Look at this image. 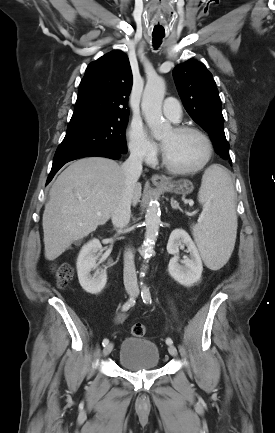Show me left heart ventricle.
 Here are the masks:
<instances>
[{
  "label": "left heart ventricle",
  "mask_w": 275,
  "mask_h": 433,
  "mask_svg": "<svg viewBox=\"0 0 275 433\" xmlns=\"http://www.w3.org/2000/svg\"><path fill=\"white\" fill-rule=\"evenodd\" d=\"M160 140L168 160L176 167H195L206 156V144L198 134L176 133L171 129Z\"/></svg>",
  "instance_id": "b2bd125f"
}]
</instances>
